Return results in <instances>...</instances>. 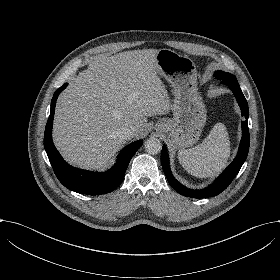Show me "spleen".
<instances>
[{
  "mask_svg": "<svg viewBox=\"0 0 280 280\" xmlns=\"http://www.w3.org/2000/svg\"><path fill=\"white\" fill-rule=\"evenodd\" d=\"M230 156V142L226 127L217 123L209 136L192 149H182L178 160L183 168L199 178L213 177L226 166Z\"/></svg>",
  "mask_w": 280,
  "mask_h": 280,
  "instance_id": "1",
  "label": "spleen"
}]
</instances>
